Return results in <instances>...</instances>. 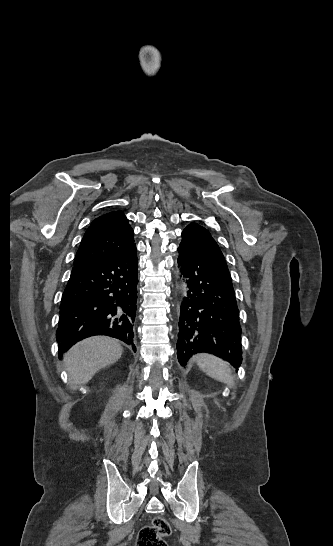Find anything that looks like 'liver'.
<instances>
[{
  "label": "liver",
  "instance_id": "6515ba94",
  "mask_svg": "<svg viewBox=\"0 0 333 546\" xmlns=\"http://www.w3.org/2000/svg\"><path fill=\"white\" fill-rule=\"evenodd\" d=\"M122 352L121 345L108 337H91L77 343L64 355L70 387L87 384L97 371L117 362Z\"/></svg>",
  "mask_w": 333,
  "mask_h": 546
}]
</instances>
